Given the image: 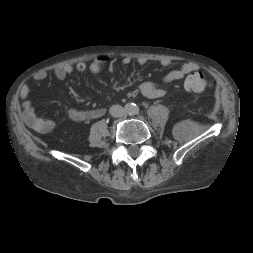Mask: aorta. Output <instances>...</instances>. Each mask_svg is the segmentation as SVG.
Returning <instances> with one entry per match:
<instances>
[{
	"label": "aorta",
	"instance_id": "aorta-1",
	"mask_svg": "<svg viewBox=\"0 0 253 253\" xmlns=\"http://www.w3.org/2000/svg\"><path fill=\"white\" fill-rule=\"evenodd\" d=\"M125 111L128 115H136L139 112V107L133 103H127L125 105Z\"/></svg>",
	"mask_w": 253,
	"mask_h": 253
}]
</instances>
